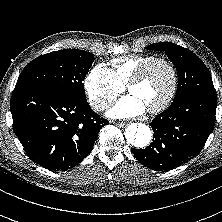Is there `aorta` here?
Wrapping results in <instances>:
<instances>
[{
	"instance_id": "obj_1",
	"label": "aorta",
	"mask_w": 222,
	"mask_h": 222,
	"mask_svg": "<svg viewBox=\"0 0 222 222\" xmlns=\"http://www.w3.org/2000/svg\"><path fill=\"white\" fill-rule=\"evenodd\" d=\"M126 142L138 149L145 148L152 140L150 127L143 123H132L125 130Z\"/></svg>"
}]
</instances>
